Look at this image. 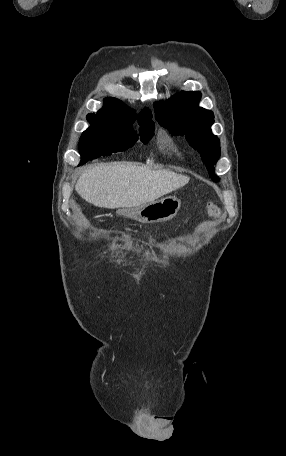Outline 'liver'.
Returning a JSON list of instances; mask_svg holds the SVG:
<instances>
[{
	"mask_svg": "<svg viewBox=\"0 0 286 456\" xmlns=\"http://www.w3.org/2000/svg\"><path fill=\"white\" fill-rule=\"evenodd\" d=\"M188 176L145 165H98L85 171L75 190L87 202L108 209L130 208L154 202L185 186Z\"/></svg>",
	"mask_w": 286,
	"mask_h": 456,
	"instance_id": "6515ba94",
	"label": "liver"
}]
</instances>
